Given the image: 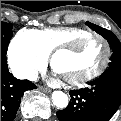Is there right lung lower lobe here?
I'll list each match as a JSON object with an SVG mask.
<instances>
[{
  "label": "right lung lower lobe",
  "instance_id": "98d812e1",
  "mask_svg": "<svg viewBox=\"0 0 121 121\" xmlns=\"http://www.w3.org/2000/svg\"><path fill=\"white\" fill-rule=\"evenodd\" d=\"M7 67L6 56L1 54V121H13L24 92L36 88L28 80L16 79Z\"/></svg>",
  "mask_w": 121,
  "mask_h": 121
}]
</instances>
